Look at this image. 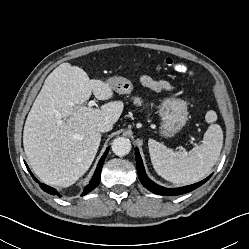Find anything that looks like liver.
<instances>
[{"instance_id":"liver-1","label":"liver","mask_w":249,"mask_h":249,"mask_svg":"<svg viewBox=\"0 0 249 249\" xmlns=\"http://www.w3.org/2000/svg\"><path fill=\"white\" fill-rule=\"evenodd\" d=\"M98 100L113 97L111 86L70 63L59 65L45 80L27 116L23 145L34 173L45 184L68 187L83 176L98 151L100 121L115 124L123 103L100 108L83 104L91 93Z\"/></svg>"}]
</instances>
